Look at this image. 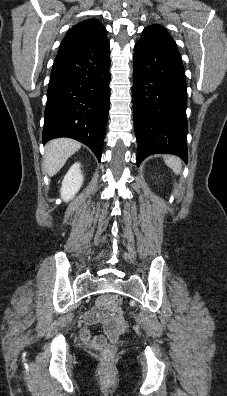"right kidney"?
Listing matches in <instances>:
<instances>
[{"label":"right kidney","mask_w":227,"mask_h":396,"mask_svg":"<svg viewBox=\"0 0 227 396\" xmlns=\"http://www.w3.org/2000/svg\"><path fill=\"white\" fill-rule=\"evenodd\" d=\"M83 183L80 163H75L67 172L62 182L61 197L65 202L71 200Z\"/></svg>","instance_id":"right-kidney-1"}]
</instances>
